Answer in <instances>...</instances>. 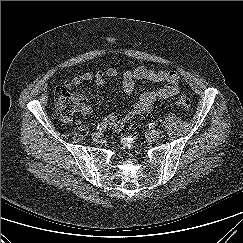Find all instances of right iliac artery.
Returning <instances> with one entry per match:
<instances>
[{"label": "right iliac artery", "mask_w": 243, "mask_h": 243, "mask_svg": "<svg viewBox=\"0 0 243 243\" xmlns=\"http://www.w3.org/2000/svg\"><path fill=\"white\" fill-rule=\"evenodd\" d=\"M107 128V124L105 122L98 124L97 129L98 130H105Z\"/></svg>", "instance_id": "obj_1"}]
</instances>
